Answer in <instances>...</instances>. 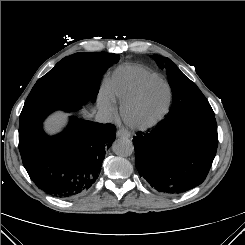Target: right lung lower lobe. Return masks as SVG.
I'll list each match as a JSON object with an SVG mask.
<instances>
[{
    "label": "right lung lower lobe",
    "mask_w": 245,
    "mask_h": 245,
    "mask_svg": "<svg viewBox=\"0 0 245 245\" xmlns=\"http://www.w3.org/2000/svg\"><path fill=\"white\" fill-rule=\"evenodd\" d=\"M87 82L100 83L106 68L94 55L78 60ZM112 124L71 117L60 134L47 136L42 125L19 133V151L31 180L58 198L79 196L94 184L106 150L116 137Z\"/></svg>",
    "instance_id": "1"
}]
</instances>
